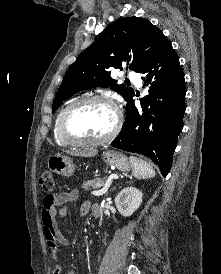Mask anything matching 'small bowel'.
<instances>
[{"label": "small bowel", "mask_w": 221, "mask_h": 274, "mask_svg": "<svg viewBox=\"0 0 221 274\" xmlns=\"http://www.w3.org/2000/svg\"><path fill=\"white\" fill-rule=\"evenodd\" d=\"M78 197V192L71 193L63 192L45 197L41 211V219L43 224L44 235L47 241L48 248L55 260L54 274L62 273V266L58 261L59 249L61 246H67L70 243L69 238L63 234L58 226V219L65 217L67 214L66 204L75 200ZM96 204L92 205L89 202L83 203L80 209L82 216L86 215L89 209H93ZM60 207V209H58ZM67 274H76L74 270Z\"/></svg>", "instance_id": "obj_1"}]
</instances>
